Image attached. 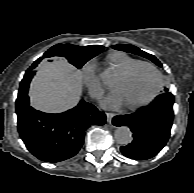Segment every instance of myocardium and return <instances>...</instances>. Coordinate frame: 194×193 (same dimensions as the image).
Masks as SVG:
<instances>
[{
    "mask_svg": "<svg viewBox=\"0 0 194 193\" xmlns=\"http://www.w3.org/2000/svg\"><path fill=\"white\" fill-rule=\"evenodd\" d=\"M142 66H147V67H150L154 70V72L157 76V85H156L154 92L145 101L140 102L138 104H125V107L127 109H130V110L139 109V108H142V107H145V106L151 104L156 99V97L159 95V93L162 89V86H163L162 73L159 70V68L152 62L140 61V62L134 64L133 66H131L130 68H128L127 70H125L124 72H122L119 76L121 79L125 80V79L129 78L139 67H142Z\"/></svg>",
    "mask_w": 194,
    "mask_h": 193,
    "instance_id": "f54148a6",
    "label": "myocardium"
}]
</instances>
